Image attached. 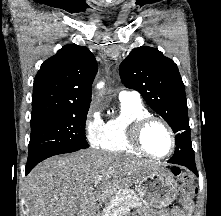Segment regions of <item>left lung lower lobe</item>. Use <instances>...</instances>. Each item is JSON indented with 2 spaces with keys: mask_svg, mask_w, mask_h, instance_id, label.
Instances as JSON below:
<instances>
[{
  "mask_svg": "<svg viewBox=\"0 0 221 216\" xmlns=\"http://www.w3.org/2000/svg\"><path fill=\"white\" fill-rule=\"evenodd\" d=\"M168 162L172 164L183 165L197 174L194 151L192 149L184 146H176L175 152Z\"/></svg>",
  "mask_w": 221,
  "mask_h": 216,
  "instance_id": "left-lung-lower-lobe-1",
  "label": "left lung lower lobe"
}]
</instances>
